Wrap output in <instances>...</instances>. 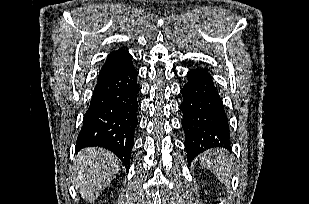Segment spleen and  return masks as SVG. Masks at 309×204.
Masks as SVG:
<instances>
[{
  "mask_svg": "<svg viewBox=\"0 0 309 204\" xmlns=\"http://www.w3.org/2000/svg\"><path fill=\"white\" fill-rule=\"evenodd\" d=\"M200 163L212 171L223 183H228L231 175V161L224 151L211 149L199 156Z\"/></svg>",
  "mask_w": 309,
  "mask_h": 204,
  "instance_id": "obj_1",
  "label": "spleen"
}]
</instances>
